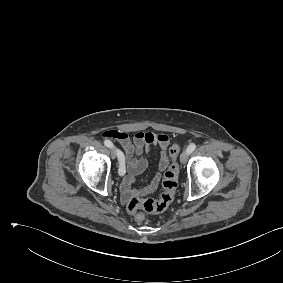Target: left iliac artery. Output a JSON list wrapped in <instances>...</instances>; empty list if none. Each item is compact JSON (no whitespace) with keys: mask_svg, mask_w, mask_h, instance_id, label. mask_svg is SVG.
Returning a JSON list of instances; mask_svg holds the SVG:
<instances>
[{"mask_svg":"<svg viewBox=\"0 0 283 283\" xmlns=\"http://www.w3.org/2000/svg\"><path fill=\"white\" fill-rule=\"evenodd\" d=\"M196 149V144L192 143L187 147V152L191 153Z\"/></svg>","mask_w":283,"mask_h":283,"instance_id":"obj_1","label":"left iliac artery"}]
</instances>
